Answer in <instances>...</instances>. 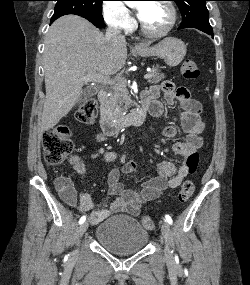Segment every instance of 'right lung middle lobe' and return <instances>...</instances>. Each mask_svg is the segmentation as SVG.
I'll list each match as a JSON object with an SVG mask.
<instances>
[{"mask_svg": "<svg viewBox=\"0 0 250 285\" xmlns=\"http://www.w3.org/2000/svg\"><path fill=\"white\" fill-rule=\"evenodd\" d=\"M56 6L51 21L67 15L75 14L86 19L104 22L101 12L103 0H56Z\"/></svg>", "mask_w": 250, "mask_h": 285, "instance_id": "dd1d6c3e", "label": "right lung middle lobe"}]
</instances>
